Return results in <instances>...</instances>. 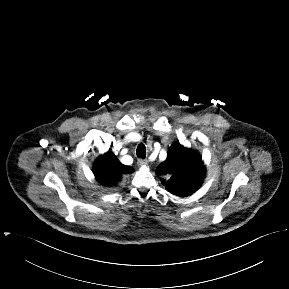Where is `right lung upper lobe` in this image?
<instances>
[{"mask_svg": "<svg viewBox=\"0 0 289 289\" xmlns=\"http://www.w3.org/2000/svg\"><path fill=\"white\" fill-rule=\"evenodd\" d=\"M134 170L120 163L112 152L101 155L95 162L93 172L96 179L103 184H115L122 175L132 173Z\"/></svg>", "mask_w": 289, "mask_h": 289, "instance_id": "1", "label": "right lung upper lobe"}]
</instances>
